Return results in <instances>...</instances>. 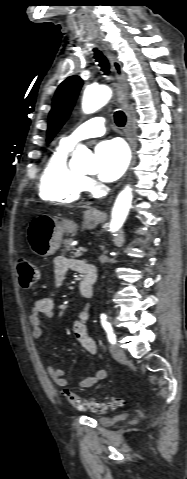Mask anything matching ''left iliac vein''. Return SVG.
I'll use <instances>...</instances> for the list:
<instances>
[{"mask_svg": "<svg viewBox=\"0 0 187 479\" xmlns=\"http://www.w3.org/2000/svg\"><path fill=\"white\" fill-rule=\"evenodd\" d=\"M110 349V352L112 354V356L118 360V361H123L125 360L126 356H125V352L123 349H121L120 347H118L117 345H110L109 347Z\"/></svg>", "mask_w": 187, "mask_h": 479, "instance_id": "left-iliac-vein-1", "label": "left iliac vein"}]
</instances>
